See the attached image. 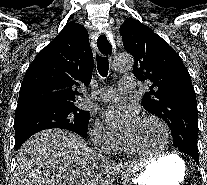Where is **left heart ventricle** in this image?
<instances>
[{
	"mask_svg": "<svg viewBox=\"0 0 207 185\" xmlns=\"http://www.w3.org/2000/svg\"><path fill=\"white\" fill-rule=\"evenodd\" d=\"M132 149L141 152H159L165 148L166 141L162 129L154 121L141 119L125 134Z\"/></svg>",
	"mask_w": 207,
	"mask_h": 185,
	"instance_id": "b2bd125f",
	"label": "left heart ventricle"
}]
</instances>
